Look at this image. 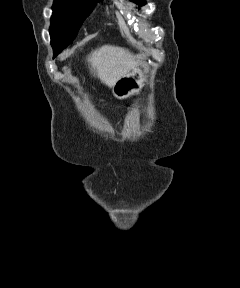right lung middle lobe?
Wrapping results in <instances>:
<instances>
[{"instance_id": "obj_1", "label": "right lung middle lobe", "mask_w": 240, "mask_h": 288, "mask_svg": "<svg viewBox=\"0 0 240 288\" xmlns=\"http://www.w3.org/2000/svg\"><path fill=\"white\" fill-rule=\"evenodd\" d=\"M99 1L55 0L50 26L54 56L75 39L81 24Z\"/></svg>"}]
</instances>
